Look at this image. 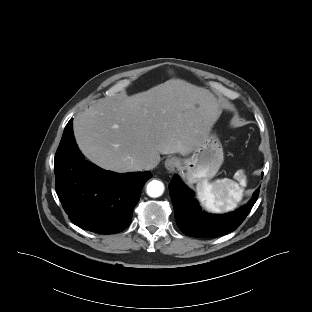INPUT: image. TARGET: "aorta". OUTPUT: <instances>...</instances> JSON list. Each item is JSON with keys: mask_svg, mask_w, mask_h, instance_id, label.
<instances>
[{"mask_svg": "<svg viewBox=\"0 0 312 312\" xmlns=\"http://www.w3.org/2000/svg\"><path fill=\"white\" fill-rule=\"evenodd\" d=\"M146 192L152 198L159 197L164 192V184L159 180H152L147 184Z\"/></svg>", "mask_w": 312, "mask_h": 312, "instance_id": "aorta-1", "label": "aorta"}]
</instances>
